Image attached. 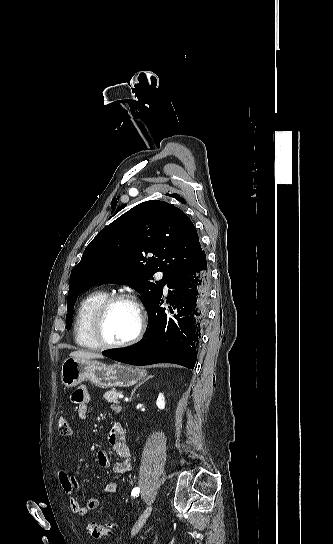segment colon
Wrapping results in <instances>:
<instances>
[{
  "instance_id": "obj_1",
  "label": "colon",
  "mask_w": 333,
  "mask_h": 544,
  "mask_svg": "<svg viewBox=\"0 0 333 544\" xmlns=\"http://www.w3.org/2000/svg\"><path fill=\"white\" fill-rule=\"evenodd\" d=\"M57 430L59 434L63 436H69L72 434V427L68 419L66 418V416L64 415L59 416L57 420ZM112 528H113V524L111 523L90 522L87 525V530L89 534L95 538L106 537L110 533Z\"/></svg>"
}]
</instances>
